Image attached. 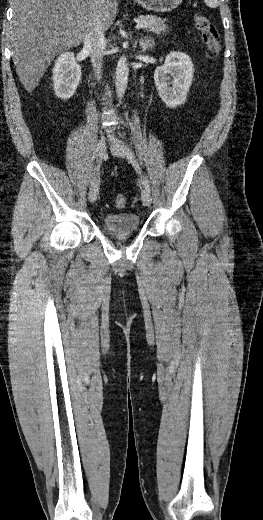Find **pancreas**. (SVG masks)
I'll list each match as a JSON object with an SVG mask.
<instances>
[{
    "mask_svg": "<svg viewBox=\"0 0 263 520\" xmlns=\"http://www.w3.org/2000/svg\"><path fill=\"white\" fill-rule=\"evenodd\" d=\"M138 20L143 23L144 29L155 33L165 32L167 29V25L165 24L166 20H162L160 17L154 15H140Z\"/></svg>",
    "mask_w": 263,
    "mask_h": 520,
    "instance_id": "1",
    "label": "pancreas"
}]
</instances>
